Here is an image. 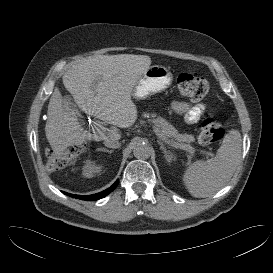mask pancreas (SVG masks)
Wrapping results in <instances>:
<instances>
[{
	"label": "pancreas",
	"instance_id": "obj_1",
	"mask_svg": "<svg viewBox=\"0 0 273 273\" xmlns=\"http://www.w3.org/2000/svg\"><path fill=\"white\" fill-rule=\"evenodd\" d=\"M143 116L148 119L150 123H152L156 129H158L167 139H170L173 143L178 144L180 146H190L189 142L194 141V137L189 134H180L178 130L171 125L168 121H166L162 117L154 118L155 115L144 113Z\"/></svg>",
	"mask_w": 273,
	"mask_h": 273
}]
</instances>
